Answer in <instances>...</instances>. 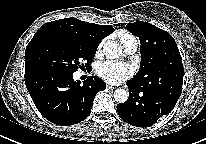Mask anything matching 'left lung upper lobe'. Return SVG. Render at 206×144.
<instances>
[{"label": "left lung upper lobe", "mask_w": 206, "mask_h": 144, "mask_svg": "<svg viewBox=\"0 0 206 144\" xmlns=\"http://www.w3.org/2000/svg\"><path fill=\"white\" fill-rule=\"evenodd\" d=\"M126 27L141 42V64L132 79L134 82L153 87L183 80L182 58L168 32L142 21L129 23Z\"/></svg>", "instance_id": "5c2ea615"}]
</instances>
